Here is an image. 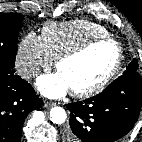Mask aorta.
<instances>
[{
    "mask_svg": "<svg viewBox=\"0 0 142 142\" xmlns=\"http://www.w3.org/2000/svg\"><path fill=\"white\" fill-rule=\"evenodd\" d=\"M67 115L62 107H53L50 110V120L55 124H62L66 121Z\"/></svg>",
    "mask_w": 142,
    "mask_h": 142,
    "instance_id": "1",
    "label": "aorta"
}]
</instances>
